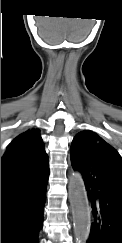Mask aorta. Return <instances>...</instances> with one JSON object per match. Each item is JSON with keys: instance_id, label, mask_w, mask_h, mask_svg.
<instances>
[{"instance_id": "obj_1", "label": "aorta", "mask_w": 122, "mask_h": 243, "mask_svg": "<svg viewBox=\"0 0 122 243\" xmlns=\"http://www.w3.org/2000/svg\"><path fill=\"white\" fill-rule=\"evenodd\" d=\"M68 191L75 238L77 243H86L90 232V216L85 185L80 173H71Z\"/></svg>"}]
</instances>
